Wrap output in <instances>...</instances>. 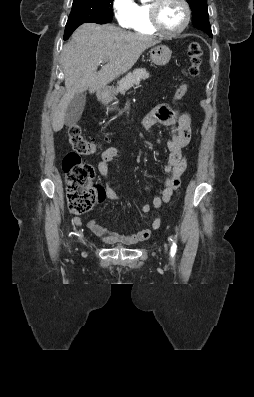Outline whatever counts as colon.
<instances>
[{
    "instance_id": "5ec220e1",
    "label": "colon",
    "mask_w": 254,
    "mask_h": 397,
    "mask_svg": "<svg viewBox=\"0 0 254 397\" xmlns=\"http://www.w3.org/2000/svg\"><path fill=\"white\" fill-rule=\"evenodd\" d=\"M190 77L200 74L202 48L199 43L192 42L188 47ZM187 92V85L182 84L174 94V100H181ZM68 140L73 152L63 159V171L66 179L67 204L70 213L82 215L90 211L100 198V187L95 181V171L83 155L94 154L98 146L88 140L82 133L79 124H73L68 129Z\"/></svg>"
}]
</instances>
